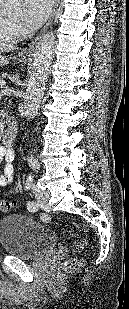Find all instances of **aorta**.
I'll return each instance as SVG.
<instances>
[{"label":"aorta","instance_id":"762f6f07","mask_svg":"<svg viewBox=\"0 0 129 309\" xmlns=\"http://www.w3.org/2000/svg\"><path fill=\"white\" fill-rule=\"evenodd\" d=\"M20 8L21 0H8L5 11L8 14H16ZM55 41V32L51 30L41 38L34 51L22 105V114L27 122L37 115L43 99L54 56Z\"/></svg>","mask_w":129,"mask_h":309}]
</instances>
